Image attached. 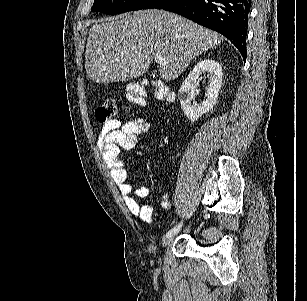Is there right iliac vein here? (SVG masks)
I'll use <instances>...</instances> for the list:
<instances>
[{"label":"right iliac vein","instance_id":"1","mask_svg":"<svg viewBox=\"0 0 307 301\" xmlns=\"http://www.w3.org/2000/svg\"><path fill=\"white\" fill-rule=\"evenodd\" d=\"M174 235L175 234L166 235L165 237H163V239H162V246L166 247L167 245H169L173 241Z\"/></svg>","mask_w":307,"mask_h":301}]
</instances>
